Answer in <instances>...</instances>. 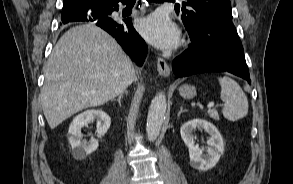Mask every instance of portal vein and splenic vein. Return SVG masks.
<instances>
[{"label":"portal vein and splenic vein","mask_w":293,"mask_h":184,"mask_svg":"<svg viewBox=\"0 0 293 184\" xmlns=\"http://www.w3.org/2000/svg\"><path fill=\"white\" fill-rule=\"evenodd\" d=\"M212 107H214V102H210V103L207 105V108H208V109H211Z\"/></svg>","instance_id":"portal-vein-and-splenic-vein-1"}]
</instances>
